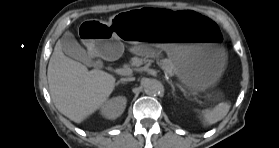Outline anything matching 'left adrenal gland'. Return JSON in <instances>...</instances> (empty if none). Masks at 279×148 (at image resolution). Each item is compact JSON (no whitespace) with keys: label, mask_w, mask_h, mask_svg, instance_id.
Masks as SVG:
<instances>
[{"label":"left adrenal gland","mask_w":279,"mask_h":148,"mask_svg":"<svg viewBox=\"0 0 279 148\" xmlns=\"http://www.w3.org/2000/svg\"><path fill=\"white\" fill-rule=\"evenodd\" d=\"M170 85H171V88H172V94H173L174 97H176V95H175V87H174V85L172 83H170Z\"/></svg>","instance_id":"obj_1"}]
</instances>
